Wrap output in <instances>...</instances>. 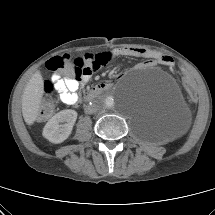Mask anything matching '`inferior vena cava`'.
I'll return each mask as SVG.
<instances>
[{
	"label": "inferior vena cava",
	"mask_w": 215,
	"mask_h": 215,
	"mask_svg": "<svg viewBox=\"0 0 215 215\" xmlns=\"http://www.w3.org/2000/svg\"><path fill=\"white\" fill-rule=\"evenodd\" d=\"M84 110L87 114H92V113L96 112L97 106H96V104L86 105Z\"/></svg>",
	"instance_id": "obj_1"
}]
</instances>
